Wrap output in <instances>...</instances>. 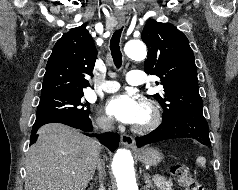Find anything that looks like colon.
Instances as JSON below:
<instances>
[{
  "label": "colon",
  "instance_id": "1",
  "mask_svg": "<svg viewBox=\"0 0 238 190\" xmlns=\"http://www.w3.org/2000/svg\"><path fill=\"white\" fill-rule=\"evenodd\" d=\"M170 173L185 190H204L188 167L176 164L170 168Z\"/></svg>",
  "mask_w": 238,
  "mask_h": 190
}]
</instances>
